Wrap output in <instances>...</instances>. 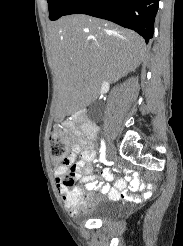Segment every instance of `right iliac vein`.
<instances>
[{"label":"right iliac vein","instance_id":"1","mask_svg":"<svg viewBox=\"0 0 183 246\" xmlns=\"http://www.w3.org/2000/svg\"><path fill=\"white\" fill-rule=\"evenodd\" d=\"M107 156L110 157V152H108Z\"/></svg>","mask_w":183,"mask_h":246}]
</instances>
